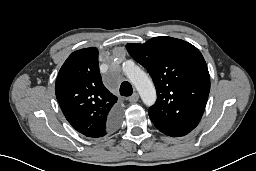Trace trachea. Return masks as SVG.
<instances>
[{
	"label": "trachea",
	"instance_id": "obj_1",
	"mask_svg": "<svg viewBox=\"0 0 256 171\" xmlns=\"http://www.w3.org/2000/svg\"><path fill=\"white\" fill-rule=\"evenodd\" d=\"M133 93V88L131 84L127 81L123 82L120 86V95L122 96H131Z\"/></svg>",
	"mask_w": 256,
	"mask_h": 171
}]
</instances>
